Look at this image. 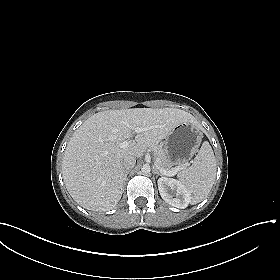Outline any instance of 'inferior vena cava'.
Segmentation results:
<instances>
[{
	"label": "inferior vena cava",
	"instance_id": "602c4592",
	"mask_svg": "<svg viewBox=\"0 0 280 280\" xmlns=\"http://www.w3.org/2000/svg\"><path fill=\"white\" fill-rule=\"evenodd\" d=\"M136 164V159L134 156H126L123 160V168L125 173L131 170Z\"/></svg>",
	"mask_w": 280,
	"mask_h": 280
}]
</instances>
